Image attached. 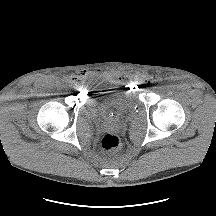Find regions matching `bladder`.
Returning <instances> with one entry per match:
<instances>
[{
    "label": "bladder",
    "instance_id": "31cf9c89",
    "mask_svg": "<svg viewBox=\"0 0 216 216\" xmlns=\"http://www.w3.org/2000/svg\"><path fill=\"white\" fill-rule=\"evenodd\" d=\"M90 103L96 114L115 117L118 113L131 111L135 106V97L132 93L109 87L94 94Z\"/></svg>",
    "mask_w": 216,
    "mask_h": 216
}]
</instances>
